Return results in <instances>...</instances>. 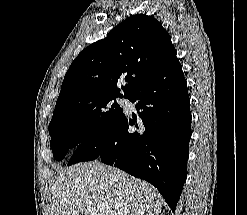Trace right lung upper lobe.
I'll list each match as a JSON object with an SVG mask.
<instances>
[{"label": "right lung upper lobe", "mask_w": 247, "mask_h": 215, "mask_svg": "<svg viewBox=\"0 0 247 215\" xmlns=\"http://www.w3.org/2000/svg\"><path fill=\"white\" fill-rule=\"evenodd\" d=\"M174 50L171 37L152 16L138 14L116 26L105 39L83 51L67 71L55 110L98 95L125 96L155 73Z\"/></svg>", "instance_id": "right-lung-upper-lobe-1"}]
</instances>
